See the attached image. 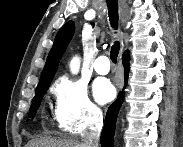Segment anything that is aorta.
I'll list each match as a JSON object with an SVG mask.
<instances>
[{
  "label": "aorta",
  "instance_id": "aorta-1",
  "mask_svg": "<svg viewBox=\"0 0 183 147\" xmlns=\"http://www.w3.org/2000/svg\"><path fill=\"white\" fill-rule=\"evenodd\" d=\"M80 66V60L78 57L73 58V60L70 63V68L73 74L78 73Z\"/></svg>",
  "mask_w": 183,
  "mask_h": 147
}]
</instances>
